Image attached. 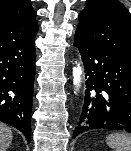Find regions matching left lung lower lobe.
Wrapping results in <instances>:
<instances>
[{
	"instance_id": "obj_1",
	"label": "left lung lower lobe",
	"mask_w": 131,
	"mask_h": 151,
	"mask_svg": "<svg viewBox=\"0 0 131 151\" xmlns=\"http://www.w3.org/2000/svg\"><path fill=\"white\" fill-rule=\"evenodd\" d=\"M74 37L85 66L87 89L73 138L91 130L131 133V60L77 33Z\"/></svg>"
}]
</instances>
